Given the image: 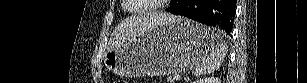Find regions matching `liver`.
Instances as JSON below:
<instances>
[{
  "mask_svg": "<svg viewBox=\"0 0 307 83\" xmlns=\"http://www.w3.org/2000/svg\"><path fill=\"white\" fill-rule=\"evenodd\" d=\"M173 18V15L163 12H152L146 15L128 18L114 29L111 36V45H120L139 36L151 27H156Z\"/></svg>",
  "mask_w": 307,
  "mask_h": 83,
  "instance_id": "obj_1",
  "label": "liver"
}]
</instances>
